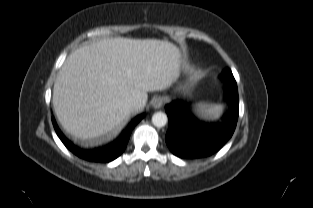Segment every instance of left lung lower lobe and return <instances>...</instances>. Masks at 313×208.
Wrapping results in <instances>:
<instances>
[{"label": "left lung lower lobe", "instance_id": "0a47b994", "mask_svg": "<svg viewBox=\"0 0 313 208\" xmlns=\"http://www.w3.org/2000/svg\"><path fill=\"white\" fill-rule=\"evenodd\" d=\"M227 90L228 113L221 122H204L196 118L187 104L174 100L166 106L169 128L166 143L180 158H201L217 152L233 135L239 114L235 79L223 80Z\"/></svg>", "mask_w": 313, "mask_h": 208}]
</instances>
